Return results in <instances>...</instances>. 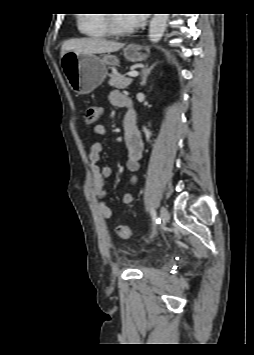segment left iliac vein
Masks as SVG:
<instances>
[{
	"mask_svg": "<svg viewBox=\"0 0 254 355\" xmlns=\"http://www.w3.org/2000/svg\"><path fill=\"white\" fill-rule=\"evenodd\" d=\"M159 217L161 221V226H165L169 220V212L166 207L161 208Z\"/></svg>",
	"mask_w": 254,
	"mask_h": 355,
	"instance_id": "1",
	"label": "left iliac vein"
}]
</instances>
